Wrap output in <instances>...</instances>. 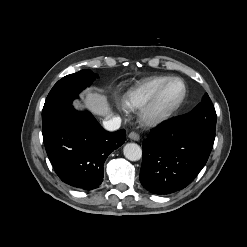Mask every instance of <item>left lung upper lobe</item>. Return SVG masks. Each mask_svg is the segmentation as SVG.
I'll list each match as a JSON object with an SVG mask.
<instances>
[{
	"mask_svg": "<svg viewBox=\"0 0 247 247\" xmlns=\"http://www.w3.org/2000/svg\"><path fill=\"white\" fill-rule=\"evenodd\" d=\"M180 123L182 126L191 129L215 132L216 112L208 94H205L202 102L199 103L190 113L181 117Z\"/></svg>",
	"mask_w": 247,
	"mask_h": 247,
	"instance_id": "left-lung-upper-lobe-1",
	"label": "left lung upper lobe"
}]
</instances>
